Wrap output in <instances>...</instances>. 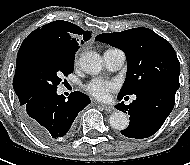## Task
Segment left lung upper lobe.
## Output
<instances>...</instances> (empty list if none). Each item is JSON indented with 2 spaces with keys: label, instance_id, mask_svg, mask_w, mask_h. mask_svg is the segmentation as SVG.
<instances>
[{
  "label": "left lung upper lobe",
  "instance_id": "obj_1",
  "mask_svg": "<svg viewBox=\"0 0 190 165\" xmlns=\"http://www.w3.org/2000/svg\"><path fill=\"white\" fill-rule=\"evenodd\" d=\"M121 49L127 58V75L120 97L153 86L179 89L180 63L170 43L148 28L104 33L95 38Z\"/></svg>",
  "mask_w": 190,
  "mask_h": 165
}]
</instances>
